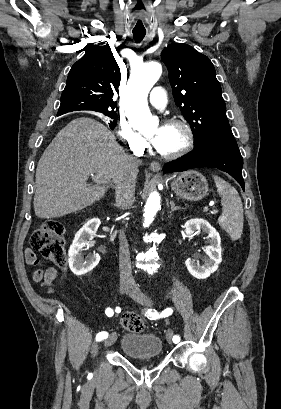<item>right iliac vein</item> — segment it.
<instances>
[{"label": "right iliac vein", "instance_id": "1", "mask_svg": "<svg viewBox=\"0 0 281 409\" xmlns=\"http://www.w3.org/2000/svg\"><path fill=\"white\" fill-rule=\"evenodd\" d=\"M129 288V284L126 281H121L120 282V292L124 293L125 291H127ZM117 339V336L115 333L111 334L105 341H104V346L105 347H109L111 345H113L115 343Z\"/></svg>", "mask_w": 281, "mask_h": 409}]
</instances>
